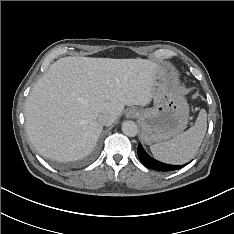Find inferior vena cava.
Here are the masks:
<instances>
[{"instance_id": "602c4592", "label": "inferior vena cava", "mask_w": 234, "mask_h": 234, "mask_svg": "<svg viewBox=\"0 0 234 234\" xmlns=\"http://www.w3.org/2000/svg\"><path fill=\"white\" fill-rule=\"evenodd\" d=\"M98 122L103 126L109 125L112 122V117L108 113H103L98 117Z\"/></svg>"}]
</instances>
